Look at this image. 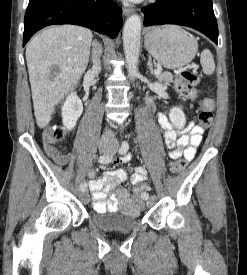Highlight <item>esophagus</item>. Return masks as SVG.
Segmentation results:
<instances>
[{
	"instance_id": "esophagus-1",
	"label": "esophagus",
	"mask_w": 247,
	"mask_h": 275,
	"mask_svg": "<svg viewBox=\"0 0 247 275\" xmlns=\"http://www.w3.org/2000/svg\"><path fill=\"white\" fill-rule=\"evenodd\" d=\"M133 11H134L133 8H123V14L125 16L130 15Z\"/></svg>"
}]
</instances>
